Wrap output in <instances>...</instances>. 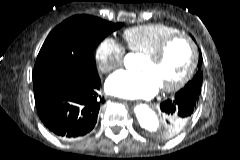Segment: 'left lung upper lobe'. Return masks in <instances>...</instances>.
Masks as SVG:
<instances>
[{"instance_id": "1", "label": "left lung upper lobe", "mask_w": 240, "mask_h": 160, "mask_svg": "<svg viewBox=\"0 0 240 160\" xmlns=\"http://www.w3.org/2000/svg\"><path fill=\"white\" fill-rule=\"evenodd\" d=\"M201 65H202V56H201V53H199L198 72L196 73L195 77L191 81H189L185 85V87L181 89L179 92H191L197 96L200 95V89L202 85V71L200 70ZM189 119L190 118L177 119L175 123L178 126L180 125L183 126L188 122ZM179 132L180 131H177L174 135L169 134V132L167 131V123L165 121L164 127L157 133V137L160 139H169L175 136L176 134H178Z\"/></svg>"}]
</instances>
